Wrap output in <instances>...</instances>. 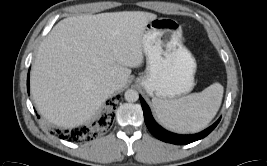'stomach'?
I'll return each instance as SVG.
<instances>
[{
	"label": "stomach",
	"instance_id": "0dacf381",
	"mask_svg": "<svg viewBox=\"0 0 267 166\" xmlns=\"http://www.w3.org/2000/svg\"><path fill=\"white\" fill-rule=\"evenodd\" d=\"M146 73L136 83L155 98L171 100L194 87L196 60L182 42L180 26L169 18L150 21L143 35Z\"/></svg>",
	"mask_w": 267,
	"mask_h": 166
}]
</instances>
